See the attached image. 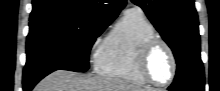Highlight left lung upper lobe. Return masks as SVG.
Here are the masks:
<instances>
[{"mask_svg":"<svg viewBox=\"0 0 220 91\" xmlns=\"http://www.w3.org/2000/svg\"><path fill=\"white\" fill-rule=\"evenodd\" d=\"M140 6L177 63L171 91H204V69L200 58V35L194 0H132Z\"/></svg>","mask_w":220,"mask_h":91,"instance_id":"left-lung-upper-lobe-1","label":"left lung upper lobe"}]
</instances>
